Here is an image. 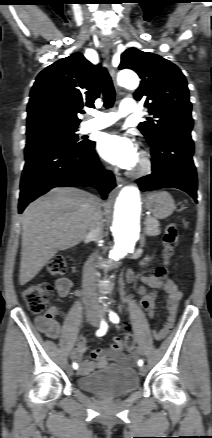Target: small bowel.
I'll use <instances>...</instances> for the list:
<instances>
[{"label":"small bowel","mask_w":212,"mask_h":438,"mask_svg":"<svg viewBox=\"0 0 212 438\" xmlns=\"http://www.w3.org/2000/svg\"><path fill=\"white\" fill-rule=\"evenodd\" d=\"M129 281H133L135 276L132 272L127 275ZM140 280L152 288H161L167 295V317L162 327L155 331V335L158 339L164 338L172 329L175 318L178 311L179 303L182 299V292L179 287L173 281H160L155 275L142 276ZM72 283L68 278H59L56 281V289L60 297H67L70 293ZM138 292L141 296H144L147 291L144 287H139ZM59 314L57 307H51L43 316L37 319V324L42 332H44L50 338H57L60 334L61 327L56 320ZM150 317L153 316V309L148 313ZM87 349L86 341L82 338L78 340L77 347L74 349L72 356L76 360H80ZM91 356L94 359L105 360L109 359L124 364L134 363L140 356L139 352H133L130 355H126L123 351V344L121 340L115 339L113 343L104 349H94L91 352ZM95 364L92 361H83L80 366V375L89 374L93 371Z\"/></svg>","instance_id":"c3829d8e"}]
</instances>
